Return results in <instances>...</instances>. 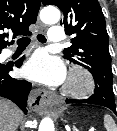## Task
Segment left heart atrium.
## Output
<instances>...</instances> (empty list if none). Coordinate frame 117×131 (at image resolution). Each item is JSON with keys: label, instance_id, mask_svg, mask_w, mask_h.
I'll use <instances>...</instances> for the list:
<instances>
[{"label": "left heart atrium", "instance_id": "39dd6f15", "mask_svg": "<svg viewBox=\"0 0 117 131\" xmlns=\"http://www.w3.org/2000/svg\"><path fill=\"white\" fill-rule=\"evenodd\" d=\"M23 74L27 78L49 86L64 82L66 71L63 63L45 51L36 52L24 65Z\"/></svg>", "mask_w": 117, "mask_h": 131}]
</instances>
